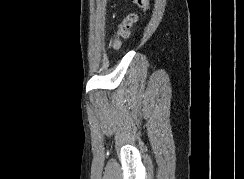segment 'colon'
<instances>
[{
	"instance_id": "obj_1",
	"label": "colon",
	"mask_w": 244,
	"mask_h": 179,
	"mask_svg": "<svg viewBox=\"0 0 244 179\" xmlns=\"http://www.w3.org/2000/svg\"><path fill=\"white\" fill-rule=\"evenodd\" d=\"M151 2L152 0H142V2H140L138 6L143 12L149 13L151 11V6L149 3ZM134 21H135V15L133 13H129L125 15V17L122 20L119 32L116 35H111L109 37V44L111 47H113L114 49L120 47L121 38L127 36L129 28Z\"/></svg>"
}]
</instances>
